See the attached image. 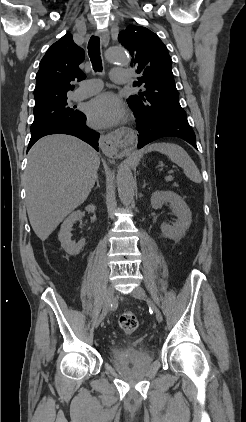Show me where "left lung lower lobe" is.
<instances>
[{
	"label": "left lung lower lobe",
	"mask_w": 246,
	"mask_h": 422,
	"mask_svg": "<svg viewBox=\"0 0 246 422\" xmlns=\"http://www.w3.org/2000/svg\"><path fill=\"white\" fill-rule=\"evenodd\" d=\"M134 113L139 133L137 146L139 149L156 139L168 136L181 138L197 149L195 133L187 118L160 117L150 121L140 113L136 111Z\"/></svg>",
	"instance_id": "left-lung-lower-lobe-1"
}]
</instances>
